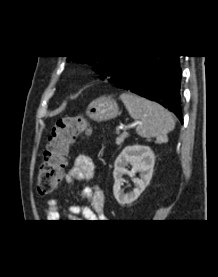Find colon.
<instances>
[{
	"label": "colon",
	"instance_id": "5ec220e1",
	"mask_svg": "<svg viewBox=\"0 0 218 277\" xmlns=\"http://www.w3.org/2000/svg\"><path fill=\"white\" fill-rule=\"evenodd\" d=\"M90 133V122L83 115L63 117L56 122L38 172L37 190L41 195L51 193L61 181L69 148L75 139Z\"/></svg>",
	"mask_w": 218,
	"mask_h": 277
}]
</instances>
